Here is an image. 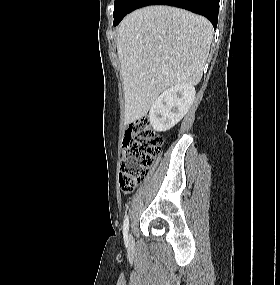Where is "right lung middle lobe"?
I'll list each match as a JSON object with an SVG mask.
<instances>
[{
    "mask_svg": "<svg viewBox=\"0 0 280 285\" xmlns=\"http://www.w3.org/2000/svg\"><path fill=\"white\" fill-rule=\"evenodd\" d=\"M136 1L137 0H115L113 12L114 26L118 24L126 14L133 10Z\"/></svg>",
    "mask_w": 280,
    "mask_h": 285,
    "instance_id": "obj_1",
    "label": "right lung middle lobe"
}]
</instances>
